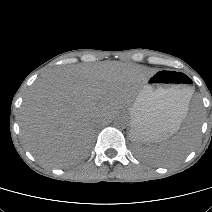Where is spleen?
Listing matches in <instances>:
<instances>
[{"mask_svg": "<svg viewBox=\"0 0 212 212\" xmlns=\"http://www.w3.org/2000/svg\"><path fill=\"white\" fill-rule=\"evenodd\" d=\"M192 94L188 97V101H190ZM188 104L184 109V118L188 113ZM198 134L199 124L194 127L186 125L176 136L168 141L161 142L159 145L144 146L135 144V153L138 157L154 165L168 166L176 164L182 161L190 152Z\"/></svg>", "mask_w": 212, "mask_h": 212, "instance_id": "1", "label": "spleen"}]
</instances>
